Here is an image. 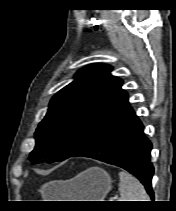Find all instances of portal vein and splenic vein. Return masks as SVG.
Instances as JSON below:
<instances>
[{
    "label": "portal vein and splenic vein",
    "instance_id": "portal-vein-and-splenic-vein-1",
    "mask_svg": "<svg viewBox=\"0 0 176 211\" xmlns=\"http://www.w3.org/2000/svg\"><path fill=\"white\" fill-rule=\"evenodd\" d=\"M116 198H117V196H113V197L110 198L109 201H114V199H116Z\"/></svg>",
    "mask_w": 176,
    "mask_h": 211
}]
</instances>
